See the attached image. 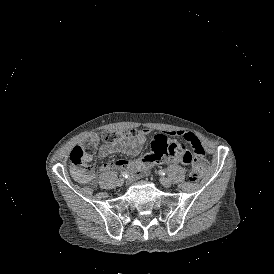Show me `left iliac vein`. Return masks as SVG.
Returning <instances> with one entry per match:
<instances>
[{"mask_svg":"<svg viewBox=\"0 0 274 274\" xmlns=\"http://www.w3.org/2000/svg\"><path fill=\"white\" fill-rule=\"evenodd\" d=\"M160 182L166 188H168L172 185V182L169 179L165 178V177H161Z\"/></svg>","mask_w":274,"mask_h":274,"instance_id":"left-iliac-vein-1","label":"left iliac vein"}]
</instances>
